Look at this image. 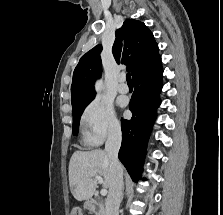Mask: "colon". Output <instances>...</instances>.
I'll list each match as a JSON object with an SVG mask.
<instances>
[{
    "label": "colon",
    "instance_id": "1",
    "mask_svg": "<svg viewBox=\"0 0 223 215\" xmlns=\"http://www.w3.org/2000/svg\"><path fill=\"white\" fill-rule=\"evenodd\" d=\"M69 215H85V213L80 208H73Z\"/></svg>",
    "mask_w": 223,
    "mask_h": 215
}]
</instances>
